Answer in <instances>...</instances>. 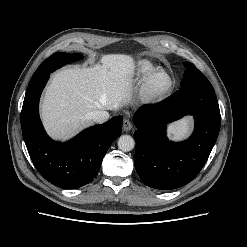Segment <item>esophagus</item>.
<instances>
[{
  "label": "esophagus",
  "mask_w": 247,
  "mask_h": 247,
  "mask_svg": "<svg viewBox=\"0 0 247 247\" xmlns=\"http://www.w3.org/2000/svg\"><path fill=\"white\" fill-rule=\"evenodd\" d=\"M133 125L129 119H124L123 121V130L128 132L132 129Z\"/></svg>",
  "instance_id": "1"
}]
</instances>
